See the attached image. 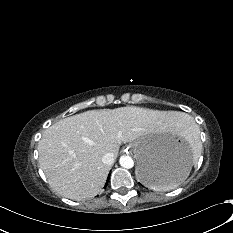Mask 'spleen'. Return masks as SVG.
I'll use <instances>...</instances> for the list:
<instances>
[{
  "label": "spleen",
  "instance_id": "spleen-1",
  "mask_svg": "<svg viewBox=\"0 0 233 233\" xmlns=\"http://www.w3.org/2000/svg\"><path fill=\"white\" fill-rule=\"evenodd\" d=\"M173 129L179 135H182L187 139V141L193 147L194 157H197L198 156L197 146L199 144V140H198L199 129H198L197 125L190 119V117L185 116V118L183 120L179 121L174 126ZM188 175L185 178L179 180L178 182H175L172 186H169V187H154L153 189L154 190H170V189H174L180 183H182L188 177Z\"/></svg>",
  "mask_w": 233,
  "mask_h": 233
}]
</instances>
